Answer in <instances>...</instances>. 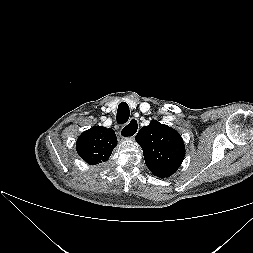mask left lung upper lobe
Wrapping results in <instances>:
<instances>
[{
    "label": "left lung upper lobe",
    "instance_id": "5c2ea615",
    "mask_svg": "<svg viewBox=\"0 0 253 253\" xmlns=\"http://www.w3.org/2000/svg\"><path fill=\"white\" fill-rule=\"evenodd\" d=\"M135 140L143 150L147 167L157 177L172 175L184 159L185 147L180 134L156 120L142 127Z\"/></svg>",
    "mask_w": 253,
    "mask_h": 253
}]
</instances>
